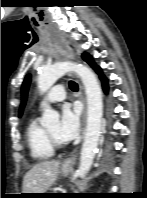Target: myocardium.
<instances>
[{
  "mask_svg": "<svg viewBox=\"0 0 147 198\" xmlns=\"http://www.w3.org/2000/svg\"><path fill=\"white\" fill-rule=\"evenodd\" d=\"M47 138L53 148H59L62 146L61 142L57 141L48 130H46Z\"/></svg>",
  "mask_w": 147,
  "mask_h": 198,
  "instance_id": "myocardium-1",
  "label": "myocardium"
}]
</instances>
